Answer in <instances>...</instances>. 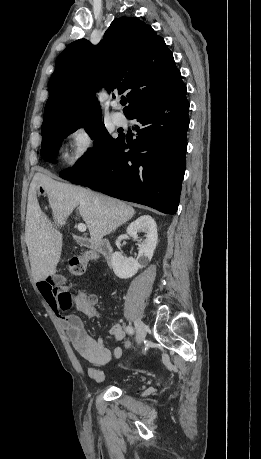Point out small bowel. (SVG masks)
<instances>
[{"label":"small bowel","mask_w":261,"mask_h":459,"mask_svg":"<svg viewBox=\"0 0 261 459\" xmlns=\"http://www.w3.org/2000/svg\"><path fill=\"white\" fill-rule=\"evenodd\" d=\"M92 260H99L96 253H89ZM65 280L61 276L52 275L37 282V287L46 303L59 318L60 324L66 331L69 339L71 340L74 349L81 358L93 366H103L111 359L119 360L122 356V349L120 346L114 348L113 351L109 350L103 339H95L84 327L83 321L75 314L63 311L62 303L64 297L70 295L67 287L54 286L64 284ZM82 313L89 317H95L97 311L93 308H80ZM109 334L117 341H121L125 337V332L119 323H115ZM88 375L96 382H102L105 378L103 371L96 367L88 368Z\"/></svg>","instance_id":"small-bowel-1"}]
</instances>
